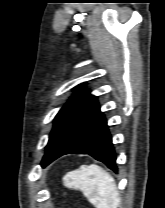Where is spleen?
Masks as SVG:
<instances>
[{
  "mask_svg": "<svg viewBox=\"0 0 165 208\" xmlns=\"http://www.w3.org/2000/svg\"><path fill=\"white\" fill-rule=\"evenodd\" d=\"M69 189L80 190L96 208H118L119 192L114 178L98 165H82L63 177Z\"/></svg>",
  "mask_w": 165,
  "mask_h": 208,
  "instance_id": "1",
  "label": "spleen"
}]
</instances>
